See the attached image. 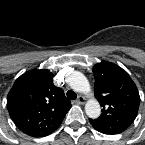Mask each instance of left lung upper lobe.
<instances>
[{"instance_id":"left-lung-upper-lobe-1","label":"left lung upper lobe","mask_w":145,"mask_h":145,"mask_svg":"<svg viewBox=\"0 0 145 145\" xmlns=\"http://www.w3.org/2000/svg\"><path fill=\"white\" fill-rule=\"evenodd\" d=\"M94 93L102 109L91 125L104 134H119L135 120L140 104L137 87L126 71L116 64L102 61L93 67Z\"/></svg>"}]
</instances>
